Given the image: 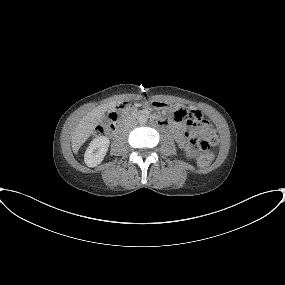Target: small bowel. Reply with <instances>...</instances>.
<instances>
[{
    "instance_id": "1",
    "label": "small bowel",
    "mask_w": 285,
    "mask_h": 285,
    "mask_svg": "<svg viewBox=\"0 0 285 285\" xmlns=\"http://www.w3.org/2000/svg\"><path fill=\"white\" fill-rule=\"evenodd\" d=\"M195 113H196V115H197L198 117H200V115H202V113H201L200 111H198V110H195ZM199 121H200V120H198L196 123H195V122L188 123L187 125H189V126H196L198 123H200ZM176 140H177V142L179 143V145H180L182 148H184V147L187 146L184 133H182V132H177V133H176Z\"/></svg>"
}]
</instances>
